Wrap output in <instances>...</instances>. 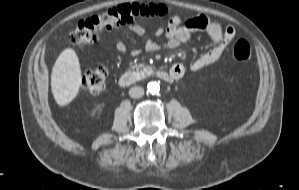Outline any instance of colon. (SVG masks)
<instances>
[{"label": "colon", "instance_id": "1", "mask_svg": "<svg viewBox=\"0 0 299 190\" xmlns=\"http://www.w3.org/2000/svg\"><path fill=\"white\" fill-rule=\"evenodd\" d=\"M129 7H120L115 9H107L102 13L94 16L88 21H85L80 27L77 29V38L80 40H90L97 37L100 33L105 32L111 29L114 24L119 22V14H120V22L121 18L123 19L126 14L129 12ZM201 27L206 28V23L201 24ZM104 81V74L102 72H95L89 79V85L93 92L97 91V89L102 85Z\"/></svg>", "mask_w": 299, "mask_h": 190}]
</instances>
